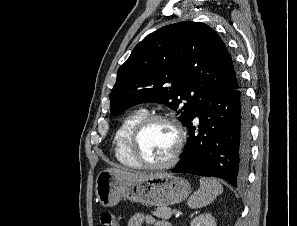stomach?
Instances as JSON below:
<instances>
[{"instance_id":"0dacf381","label":"stomach","mask_w":297,"mask_h":226,"mask_svg":"<svg viewBox=\"0 0 297 226\" xmlns=\"http://www.w3.org/2000/svg\"><path fill=\"white\" fill-rule=\"evenodd\" d=\"M95 193L104 207H112L122 198L145 205L168 206L185 200L191 187L186 179L169 173L127 180L103 170L96 178Z\"/></svg>"}]
</instances>
